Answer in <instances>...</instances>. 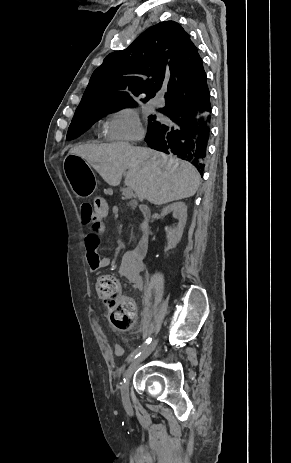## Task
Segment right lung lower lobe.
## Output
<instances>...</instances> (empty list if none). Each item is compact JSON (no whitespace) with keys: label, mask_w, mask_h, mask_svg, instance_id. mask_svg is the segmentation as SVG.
Here are the masks:
<instances>
[{"label":"right lung lower lobe","mask_w":291,"mask_h":463,"mask_svg":"<svg viewBox=\"0 0 291 463\" xmlns=\"http://www.w3.org/2000/svg\"><path fill=\"white\" fill-rule=\"evenodd\" d=\"M202 86L207 89L203 98L188 107L174 106L162 111L170 123L159 122L148 129L145 141L150 148L193 164L202 175L211 132V102L206 75Z\"/></svg>","instance_id":"obj_1"}]
</instances>
